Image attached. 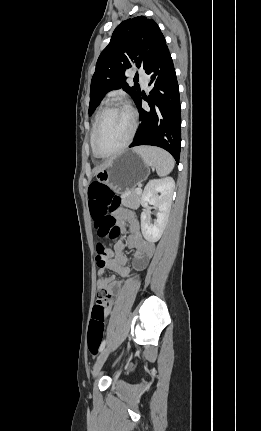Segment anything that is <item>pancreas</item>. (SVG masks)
Masks as SVG:
<instances>
[{
  "mask_svg": "<svg viewBox=\"0 0 261 431\" xmlns=\"http://www.w3.org/2000/svg\"><path fill=\"white\" fill-rule=\"evenodd\" d=\"M121 204L125 207L136 209L141 204V193L130 190L121 196Z\"/></svg>",
  "mask_w": 261,
  "mask_h": 431,
  "instance_id": "obj_1",
  "label": "pancreas"
}]
</instances>
